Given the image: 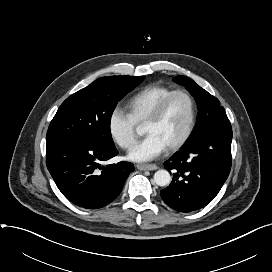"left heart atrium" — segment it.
Returning <instances> with one entry per match:
<instances>
[{"mask_svg":"<svg viewBox=\"0 0 272 272\" xmlns=\"http://www.w3.org/2000/svg\"><path fill=\"white\" fill-rule=\"evenodd\" d=\"M166 150L165 144L154 134L147 135L128 154L135 162H146L158 157Z\"/></svg>","mask_w":272,"mask_h":272,"instance_id":"left-heart-atrium-1","label":"left heart atrium"}]
</instances>
